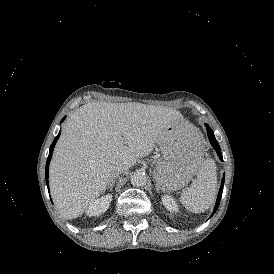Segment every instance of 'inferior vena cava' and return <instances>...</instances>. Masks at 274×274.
<instances>
[{"label":"inferior vena cava","mask_w":274,"mask_h":274,"mask_svg":"<svg viewBox=\"0 0 274 274\" xmlns=\"http://www.w3.org/2000/svg\"><path fill=\"white\" fill-rule=\"evenodd\" d=\"M124 172V167H119L118 168V170H117V176L119 175V174H121V173H123Z\"/></svg>","instance_id":"obj_1"}]
</instances>
